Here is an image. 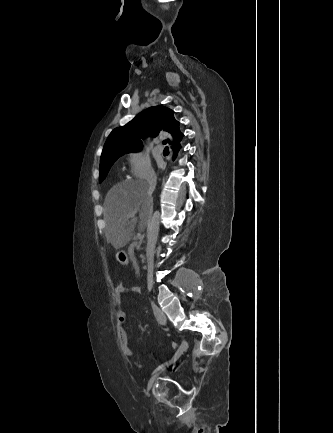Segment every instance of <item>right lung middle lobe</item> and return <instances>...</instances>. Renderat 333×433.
Segmentation results:
<instances>
[{"instance_id": "right-lung-middle-lobe-1", "label": "right lung middle lobe", "mask_w": 333, "mask_h": 433, "mask_svg": "<svg viewBox=\"0 0 333 433\" xmlns=\"http://www.w3.org/2000/svg\"><path fill=\"white\" fill-rule=\"evenodd\" d=\"M124 154L126 153L111 155L106 159L101 160L100 168H99V172H100L99 182L103 181V179L107 176V173L111 168V166L113 165V163Z\"/></svg>"}]
</instances>
